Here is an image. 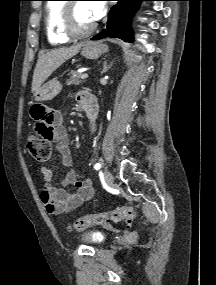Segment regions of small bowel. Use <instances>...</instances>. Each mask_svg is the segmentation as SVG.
<instances>
[{
	"label": "small bowel",
	"mask_w": 216,
	"mask_h": 285,
	"mask_svg": "<svg viewBox=\"0 0 216 285\" xmlns=\"http://www.w3.org/2000/svg\"><path fill=\"white\" fill-rule=\"evenodd\" d=\"M76 99L82 109L89 103L96 105L95 97L87 90L78 92ZM31 116L35 121V128L32 129V132L36 136H42V141L55 142L63 164L70 166L72 160L68 133L62 123L61 113L43 104H35L31 109ZM41 172L44 187L40 198L46 211L51 215H62L76 210L94 195L95 190L91 179L77 180L72 172H68L58 186L49 167L42 166ZM69 185H74L76 191L73 193L68 192L66 186Z\"/></svg>",
	"instance_id": "c3829d8e"
}]
</instances>
